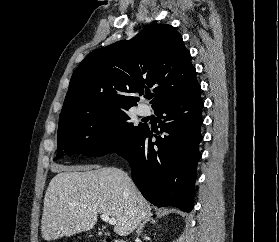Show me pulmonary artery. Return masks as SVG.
Segmentation results:
<instances>
[{
	"label": "pulmonary artery",
	"mask_w": 279,
	"mask_h": 242,
	"mask_svg": "<svg viewBox=\"0 0 279 242\" xmlns=\"http://www.w3.org/2000/svg\"><path fill=\"white\" fill-rule=\"evenodd\" d=\"M138 112L141 116H147L150 113V109L146 105H140L138 108Z\"/></svg>",
	"instance_id": "e3ab8cb5"
}]
</instances>
